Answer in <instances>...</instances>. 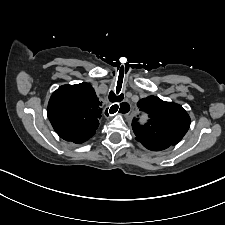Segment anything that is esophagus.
Instances as JSON below:
<instances>
[{
	"label": "esophagus",
	"mask_w": 225,
	"mask_h": 225,
	"mask_svg": "<svg viewBox=\"0 0 225 225\" xmlns=\"http://www.w3.org/2000/svg\"><path fill=\"white\" fill-rule=\"evenodd\" d=\"M125 103H127V102H125ZM128 104V105H127ZM126 104V106L124 107V109L123 110H120V107H118V110L116 111L117 113H119V114H121V115H123V116H127V115H129V113L131 112V107H130V104L129 103H127ZM114 105H116V104H111L110 106H109V112L110 111H113V109H114ZM130 107V108H129Z\"/></svg>",
	"instance_id": "1"
}]
</instances>
